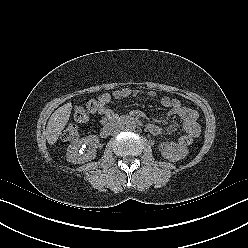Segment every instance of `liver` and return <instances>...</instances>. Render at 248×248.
<instances>
[{
	"label": "liver",
	"instance_id": "1",
	"mask_svg": "<svg viewBox=\"0 0 248 248\" xmlns=\"http://www.w3.org/2000/svg\"><path fill=\"white\" fill-rule=\"evenodd\" d=\"M71 110V103L64 104L55 110L49 118L45 133L46 139L50 145L55 144L58 140L59 136L61 135V131L65 128L69 120Z\"/></svg>",
	"mask_w": 248,
	"mask_h": 248
}]
</instances>
